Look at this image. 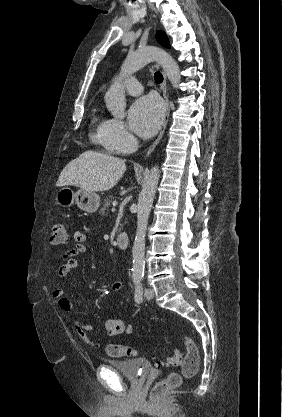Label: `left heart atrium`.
I'll return each mask as SVG.
<instances>
[{"instance_id": "1", "label": "left heart atrium", "mask_w": 282, "mask_h": 417, "mask_svg": "<svg viewBox=\"0 0 282 417\" xmlns=\"http://www.w3.org/2000/svg\"><path fill=\"white\" fill-rule=\"evenodd\" d=\"M163 104L155 96H146L136 101L129 110L131 129L146 137L153 134L162 121Z\"/></svg>"}]
</instances>
